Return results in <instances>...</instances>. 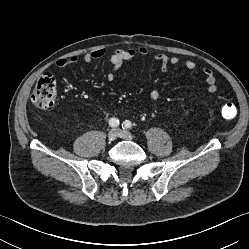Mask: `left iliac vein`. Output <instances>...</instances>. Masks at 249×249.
Here are the masks:
<instances>
[{"mask_svg": "<svg viewBox=\"0 0 249 249\" xmlns=\"http://www.w3.org/2000/svg\"><path fill=\"white\" fill-rule=\"evenodd\" d=\"M118 136L127 140H131L133 138V135L130 132L124 130H118Z\"/></svg>", "mask_w": 249, "mask_h": 249, "instance_id": "1", "label": "left iliac vein"}]
</instances>
